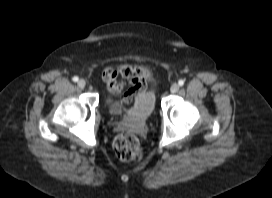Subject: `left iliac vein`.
<instances>
[{
    "instance_id": "1",
    "label": "left iliac vein",
    "mask_w": 272,
    "mask_h": 198,
    "mask_svg": "<svg viewBox=\"0 0 272 198\" xmlns=\"http://www.w3.org/2000/svg\"><path fill=\"white\" fill-rule=\"evenodd\" d=\"M179 90V85L177 83H173L170 87L171 93H176Z\"/></svg>"
}]
</instances>
